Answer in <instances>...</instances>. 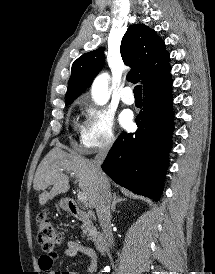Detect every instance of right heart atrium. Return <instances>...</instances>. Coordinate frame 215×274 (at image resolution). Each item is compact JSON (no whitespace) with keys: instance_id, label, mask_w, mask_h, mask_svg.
Listing matches in <instances>:
<instances>
[{"instance_id":"d8ad5b80","label":"right heart atrium","mask_w":215,"mask_h":274,"mask_svg":"<svg viewBox=\"0 0 215 274\" xmlns=\"http://www.w3.org/2000/svg\"><path fill=\"white\" fill-rule=\"evenodd\" d=\"M82 111L84 121L80 127L77 150L91 153L109 149L116 139L112 114L86 101L82 103Z\"/></svg>"}]
</instances>
